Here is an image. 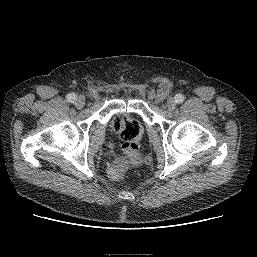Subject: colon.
Segmentation results:
<instances>
[{
	"label": "colon",
	"mask_w": 257,
	"mask_h": 257,
	"mask_svg": "<svg viewBox=\"0 0 257 257\" xmlns=\"http://www.w3.org/2000/svg\"><path fill=\"white\" fill-rule=\"evenodd\" d=\"M111 126L124 141L122 155L109 168V174L113 178H120L130 164L139 163L145 158V153L138 146L141 127L137 121L128 119L123 114L116 115Z\"/></svg>",
	"instance_id": "obj_1"
}]
</instances>
